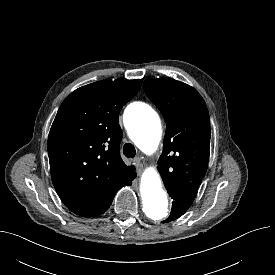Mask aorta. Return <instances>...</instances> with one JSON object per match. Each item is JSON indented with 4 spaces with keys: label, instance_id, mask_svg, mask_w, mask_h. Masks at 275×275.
<instances>
[{
    "label": "aorta",
    "instance_id": "1",
    "mask_svg": "<svg viewBox=\"0 0 275 275\" xmlns=\"http://www.w3.org/2000/svg\"><path fill=\"white\" fill-rule=\"evenodd\" d=\"M124 119L128 134L137 147L146 154H152L162 135L158 113L149 105L136 102L126 108ZM140 194L143 212L148 219L160 222L169 216L168 197L156 169L149 168L144 172Z\"/></svg>",
    "mask_w": 275,
    "mask_h": 275
}]
</instances>
